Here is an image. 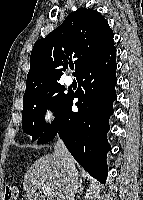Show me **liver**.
<instances>
[{"instance_id": "1", "label": "liver", "mask_w": 143, "mask_h": 200, "mask_svg": "<svg viewBox=\"0 0 143 200\" xmlns=\"http://www.w3.org/2000/svg\"><path fill=\"white\" fill-rule=\"evenodd\" d=\"M67 172L62 156L53 152L37 159L26 172L23 189L31 199L42 187L48 188V200H66Z\"/></svg>"}]
</instances>
